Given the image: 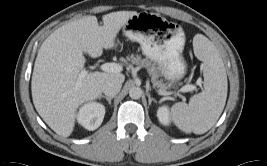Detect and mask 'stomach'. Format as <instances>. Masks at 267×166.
Segmentation results:
<instances>
[{
    "label": "stomach",
    "mask_w": 267,
    "mask_h": 166,
    "mask_svg": "<svg viewBox=\"0 0 267 166\" xmlns=\"http://www.w3.org/2000/svg\"><path fill=\"white\" fill-rule=\"evenodd\" d=\"M125 36L140 44L143 54L158 65L169 86L180 81L187 71L182 56L185 34L177 23L157 13L140 12L123 26Z\"/></svg>",
    "instance_id": "obj_1"
}]
</instances>
